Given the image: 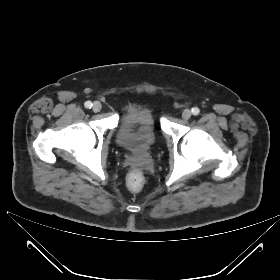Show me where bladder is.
Returning <instances> with one entry per match:
<instances>
[{"mask_svg": "<svg viewBox=\"0 0 280 280\" xmlns=\"http://www.w3.org/2000/svg\"><path fill=\"white\" fill-rule=\"evenodd\" d=\"M116 143L136 157L146 155L156 142L155 119L144 104L130 105L119 117Z\"/></svg>", "mask_w": 280, "mask_h": 280, "instance_id": "1", "label": "bladder"}]
</instances>
